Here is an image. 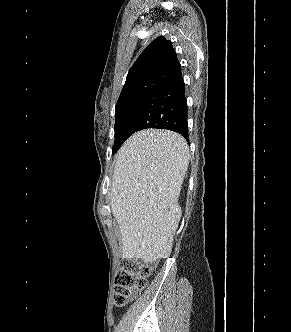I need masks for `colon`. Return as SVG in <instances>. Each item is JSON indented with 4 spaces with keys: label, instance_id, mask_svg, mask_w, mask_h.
Returning a JSON list of instances; mask_svg holds the SVG:
<instances>
[{
    "label": "colon",
    "instance_id": "5ec220e1",
    "mask_svg": "<svg viewBox=\"0 0 291 332\" xmlns=\"http://www.w3.org/2000/svg\"><path fill=\"white\" fill-rule=\"evenodd\" d=\"M151 272L150 265L135 259L123 260L115 279L114 303L123 306L135 297L146 287Z\"/></svg>",
    "mask_w": 291,
    "mask_h": 332
}]
</instances>
